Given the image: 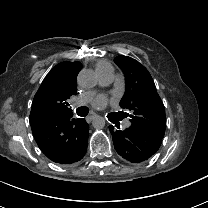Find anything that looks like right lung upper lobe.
I'll list each match as a JSON object with an SVG mask.
<instances>
[{
	"label": "right lung upper lobe",
	"instance_id": "1",
	"mask_svg": "<svg viewBox=\"0 0 208 208\" xmlns=\"http://www.w3.org/2000/svg\"><path fill=\"white\" fill-rule=\"evenodd\" d=\"M82 68L80 62H61L44 78L35 94L31 118L72 117L68 99L77 94L76 79Z\"/></svg>",
	"mask_w": 208,
	"mask_h": 208
}]
</instances>
